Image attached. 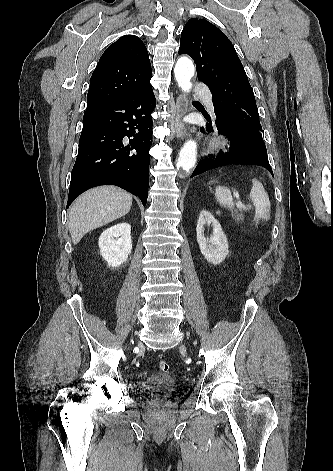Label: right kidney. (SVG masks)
<instances>
[{
    "label": "right kidney",
    "mask_w": 333,
    "mask_h": 471,
    "mask_svg": "<svg viewBox=\"0 0 333 471\" xmlns=\"http://www.w3.org/2000/svg\"><path fill=\"white\" fill-rule=\"evenodd\" d=\"M131 226L126 223L116 224L99 237L100 253L109 266L118 267L127 261L132 250Z\"/></svg>",
    "instance_id": "1"
}]
</instances>
